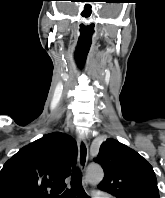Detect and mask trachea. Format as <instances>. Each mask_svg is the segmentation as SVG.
Listing matches in <instances>:
<instances>
[{
    "label": "trachea",
    "mask_w": 165,
    "mask_h": 198,
    "mask_svg": "<svg viewBox=\"0 0 165 198\" xmlns=\"http://www.w3.org/2000/svg\"><path fill=\"white\" fill-rule=\"evenodd\" d=\"M76 195L78 198H89L82 186L81 173L78 169L74 168L72 171L71 188L66 189L60 198H75Z\"/></svg>",
    "instance_id": "1"
}]
</instances>
